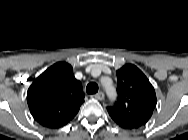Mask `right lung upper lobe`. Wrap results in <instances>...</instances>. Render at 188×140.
I'll return each instance as SVG.
<instances>
[{
  "mask_svg": "<svg viewBox=\"0 0 188 140\" xmlns=\"http://www.w3.org/2000/svg\"><path fill=\"white\" fill-rule=\"evenodd\" d=\"M81 83L70 64L59 62L43 72L30 86L27 101L34 119L44 127L59 128L78 113L84 102Z\"/></svg>",
  "mask_w": 188,
  "mask_h": 140,
  "instance_id": "cb5924a9",
  "label": "right lung upper lobe"
}]
</instances>
